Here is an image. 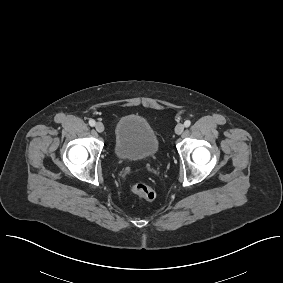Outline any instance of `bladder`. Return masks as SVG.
<instances>
[{"mask_svg": "<svg viewBox=\"0 0 283 283\" xmlns=\"http://www.w3.org/2000/svg\"><path fill=\"white\" fill-rule=\"evenodd\" d=\"M160 143L156 131L144 117L129 114L121 117L115 126L113 153L123 161L154 158Z\"/></svg>", "mask_w": 283, "mask_h": 283, "instance_id": "obj_1", "label": "bladder"}]
</instances>
